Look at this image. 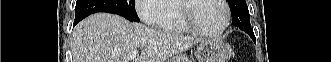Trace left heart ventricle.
Instances as JSON below:
<instances>
[{
  "mask_svg": "<svg viewBox=\"0 0 331 62\" xmlns=\"http://www.w3.org/2000/svg\"><path fill=\"white\" fill-rule=\"evenodd\" d=\"M190 15L196 24L207 31H216L224 22V9L217 0H195Z\"/></svg>",
  "mask_w": 331,
  "mask_h": 62,
  "instance_id": "1",
  "label": "left heart ventricle"
}]
</instances>
